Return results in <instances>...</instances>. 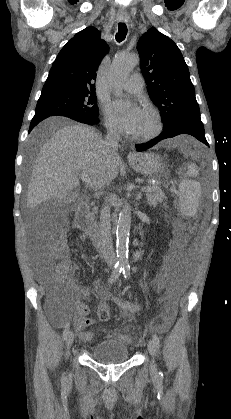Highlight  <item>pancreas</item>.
Returning <instances> with one entry per match:
<instances>
[{"instance_id": "1", "label": "pancreas", "mask_w": 231, "mask_h": 419, "mask_svg": "<svg viewBox=\"0 0 231 419\" xmlns=\"http://www.w3.org/2000/svg\"><path fill=\"white\" fill-rule=\"evenodd\" d=\"M154 189L146 194L148 204L155 207L158 203H162L165 199V193L158 186H151ZM96 211V209H95Z\"/></svg>"}]
</instances>
